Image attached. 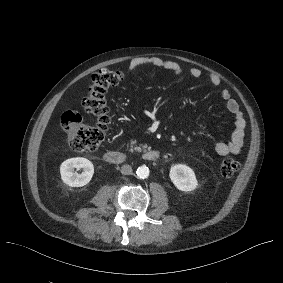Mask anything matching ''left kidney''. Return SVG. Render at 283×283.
Listing matches in <instances>:
<instances>
[{"label":"left kidney","mask_w":283,"mask_h":283,"mask_svg":"<svg viewBox=\"0 0 283 283\" xmlns=\"http://www.w3.org/2000/svg\"><path fill=\"white\" fill-rule=\"evenodd\" d=\"M169 177L175 187L180 191H193L198 186L194 171L183 164L173 165L170 168Z\"/></svg>","instance_id":"left-kidney-1"}]
</instances>
